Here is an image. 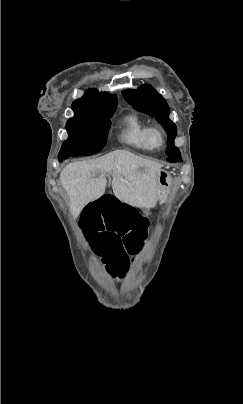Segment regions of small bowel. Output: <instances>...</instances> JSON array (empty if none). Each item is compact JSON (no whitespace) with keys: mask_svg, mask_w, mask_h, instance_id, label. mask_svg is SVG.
I'll list each match as a JSON object with an SVG mask.
<instances>
[{"mask_svg":"<svg viewBox=\"0 0 243 404\" xmlns=\"http://www.w3.org/2000/svg\"><path fill=\"white\" fill-rule=\"evenodd\" d=\"M81 227L92 249L120 276L126 274L144 245L145 219L112 192L103 193L84 207Z\"/></svg>","mask_w":243,"mask_h":404,"instance_id":"1","label":"small bowel"}]
</instances>
